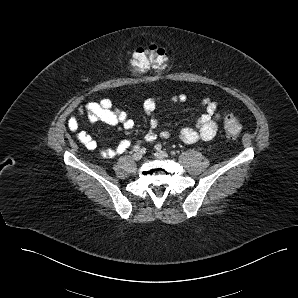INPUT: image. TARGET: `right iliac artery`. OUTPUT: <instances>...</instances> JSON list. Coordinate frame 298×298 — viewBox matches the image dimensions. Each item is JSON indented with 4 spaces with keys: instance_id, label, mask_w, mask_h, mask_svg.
Segmentation results:
<instances>
[{
    "instance_id": "1",
    "label": "right iliac artery",
    "mask_w": 298,
    "mask_h": 298,
    "mask_svg": "<svg viewBox=\"0 0 298 298\" xmlns=\"http://www.w3.org/2000/svg\"><path fill=\"white\" fill-rule=\"evenodd\" d=\"M140 150V146L139 145H136V146H134V151H139Z\"/></svg>"
}]
</instances>
